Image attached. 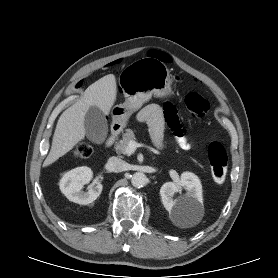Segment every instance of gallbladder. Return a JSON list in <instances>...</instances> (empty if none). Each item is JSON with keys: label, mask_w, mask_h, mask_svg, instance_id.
<instances>
[{"label": "gallbladder", "mask_w": 278, "mask_h": 278, "mask_svg": "<svg viewBox=\"0 0 278 278\" xmlns=\"http://www.w3.org/2000/svg\"><path fill=\"white\" fill-rule=\"evenodd\" d=\"M84 127L86 137L93 143L102 144L108 134L105 114L96 106H90L85 114Z\"/></svg>", "instance_id": "obj_1"}]
</instances>
